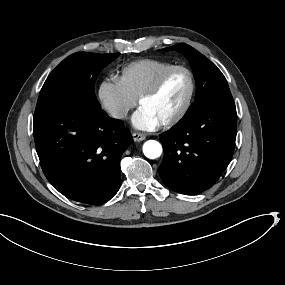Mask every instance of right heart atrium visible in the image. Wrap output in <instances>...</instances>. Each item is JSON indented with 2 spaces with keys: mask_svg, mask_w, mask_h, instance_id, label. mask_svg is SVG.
<instances>
[{
  "mask_svg": "<svg viewBox=\"0 0 285 285\" xmlns=\"http://www.w3.org/2000/svg\"><path fill=\"white\" fill-rule=\"evenodd\" d=\"M99 93L104 109L118 121L126 119L137 104V98L112 73L101 80Z\"/></svg>",
  "mask_w": 285,
  "mask_h": 285,
  "instance_id": "d8ad5b80",
  "label": "right heart atrium"
}]
</instances>
